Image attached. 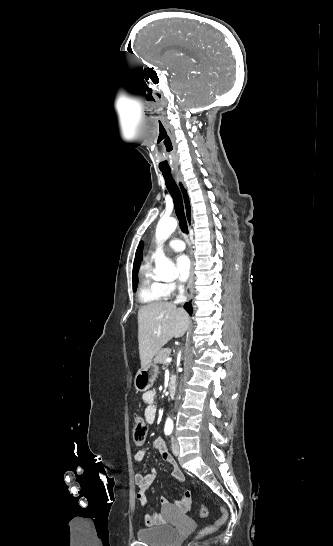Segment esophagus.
Masks as SVG:
<instances>
[{
    "mask_svg": "<svg viewBox=\"0 0 333 546\" xmlns=\"http://www.w3.org/2000/svg\"><path fill=\"white\" fill-rule=\"evenodd\" d=\"M174 178H175V181H176V183L178 185V188H179V190L181 192V195H182V198H183L184 209H185V214H186L187 220H188V222H190L191 202H190V196H189L188 190L186 188V185H185L181 175L174 174ZM193 267H194V260H192V269H191V274H190V278H189L188 285H187V295H189V296H192V294H193V286H194Z\"/></svg>",
    "mask_w": 333,
    "mask_h": 546,
    "instance_id": "obj_1",
    "label": "esophagus"
}]
</instances>
